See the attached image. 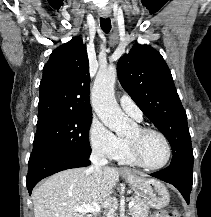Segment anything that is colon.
Masks as SVG:
<instances>
[{
	"mask_svg": "<svg viewBox=\"0 0 211 217\" xmlns=\"http://www.w3.org/2000/svg\"><path fill=\"white\" fill-rule=\"evenodd\" d=\"M156 217H179V214L177 211H160L155 214Z\"/></svg>",
	"mask_w": 211,
	"mask_h": 217,
	"instance_id": "obj_1",
	"label": "colon"
}]
</instances>
